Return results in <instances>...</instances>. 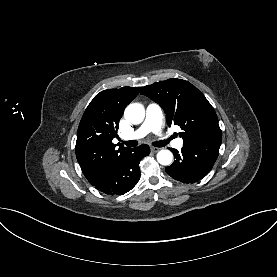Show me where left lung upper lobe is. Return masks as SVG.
<instances>
[{
	"label": "left lung upper lobe",
	"mask_w": 277,
	"mask_h": 277,
	"mask_svg": "<svg viewBox=\"0 0 277 277\" xmlns=\"http://www.w3.org/2000/svg\"><path fill=\"white\" fill-rule=\"evenodd\" d=\"M157 102L166 113V120L179 125L184 143L221 140L216 113L206 97L191 83L168 79L145 86L141 92Z\"/></svg>",
	"instance_id": "1"
}]
</instances>
